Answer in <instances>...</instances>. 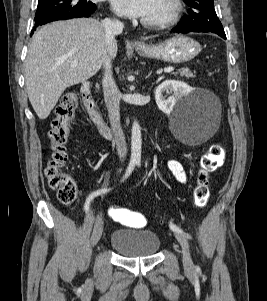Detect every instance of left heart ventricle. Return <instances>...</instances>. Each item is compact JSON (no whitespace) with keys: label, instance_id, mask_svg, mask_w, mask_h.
I'll return each instance as SVG.
<instances>
[{"label":"left heart ventricle","instance_id":"1","mask_svg":"<svg viewBox=\"0 0 267 301\" xmlns=\"http://www.w3.org/2000/svg\"><path fill=\"white\" fill-rule=\"evenodd\" d=\"M170 8V0H150L149 9L143 19H160L170 11Z\"/></svg>","mask_w":267,"mask_h":301}]
</instances>
